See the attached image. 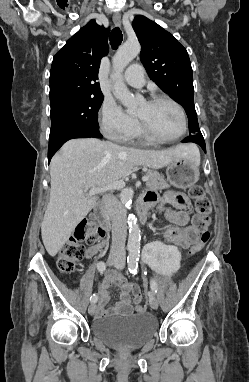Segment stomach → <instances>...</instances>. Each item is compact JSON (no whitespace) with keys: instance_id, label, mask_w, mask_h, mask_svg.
<instances>
[{"instance_id":"1","label":"stomach","mask_w":249,"mask_h":382,"mask_svg":"<svg viewBox=\"0 0 249 382\" xmlns=\"http://www.w3.org/2000/svg\"><path fill=\"white\" fill-rule=\"evenodd\" d=\"M199 164L200 162L192 156L177 157L167 166L168 181L176 188L191 187L199 179Z\"/></svg>"}]
</instances>
